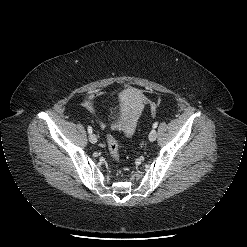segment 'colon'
<instances>
[{"mask_svg": "<svg viewBox=\"0 0 247 247\" xmlns=\"http://www.w3.org/2000/svg\"><path fill=\"white\" fill-rule=\"evenodd\" d=\"M107 145L112 158L116 161H119L120 160L119 146L117 140L112 135H108Z\"/></svg>", "mask_w": 247, "mask_h": 247, "instance_id": "5ec220e1", "label": "colon"}]
</instances>
